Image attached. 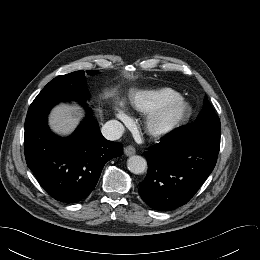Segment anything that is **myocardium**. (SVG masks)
Here are the masks:
<instances>
[{
	"mask_svg": "<svg viewBox=\"0 0 260 260\" xmlns=\"http://www.w3.org/2000/svg\"><path fill=\"white\" fill-rule=\"evenodd\" d=\"M175 108L174 115L165 121H161L162 115L169 109ZM189 111V104L181 95L168 99L145 114L143 128L145 132L154 138L164 137L181 126Z\"/></svg>",
	"mask_w": 260,
	"mask_h": 260,
	"instance_id": "f54148a6",
	"label": "myocardium"
}]
</instances>
